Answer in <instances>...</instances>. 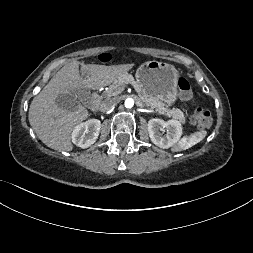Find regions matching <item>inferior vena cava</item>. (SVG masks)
Instances as JSON below:
<instances>
[{
  "label": "inferior vena cava",
  "instance_id": "602c4592",
  "mask_svg": "<svg viewBox=\"0 0 253 253\" xmlns=\"http://www.w3.org/2000/svg\"><path fill=\"white\" fill-rule=\"evenodd\" d=\"M117 102L118 100L115 98L105 99L100 105V111L107 112L111 110L117 104Z\"/></svg>",
  "mask_w": 253,
  "mask_h": 253
}]
</instances>
